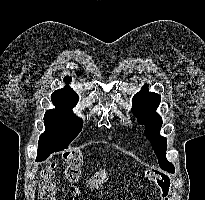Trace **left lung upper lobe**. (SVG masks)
<instances>
[{
	"mask_svg": "<svg viewBox=\"0 0 205 200\" xmlns=\"http://www.w3.org/2000/svg\"><path fill=\"white\" fill-rule=\"evenodd\" d=\"M161 101V96L148 91L145 84L141 91L132 99V112L141 125L145 126V134L152 143L159 166L166 170H174L172 163L166 159V138L160 135L162 118L156 113Z\"/></svg>",
	"mask_w": 205,
	"mask_h": 200,
	"instance_id": "1",
	"label": "left lung upper lobe"
}]
</instances>
